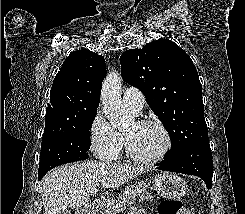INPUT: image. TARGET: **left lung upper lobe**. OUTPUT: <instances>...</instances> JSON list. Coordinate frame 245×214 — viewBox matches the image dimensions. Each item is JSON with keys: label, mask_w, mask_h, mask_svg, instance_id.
I'll return each mask as SVG.
<instances>
[{"label": "left lung upper lobe", "mask_w": 245, "mask_h": 214, "mask_svg": "<svg viewBox=\"0 0 245 214\" xmlns=\"http://www.w3.org/2000/svg\"><path fill=\"white\" fill-rule=\"evenodd\" d=\"M122 76L140 89L171 139L172 156L208 142L202 87L192 59L168 39H158L120 57Z\"/></svg>", "instance_id": "left-lung-upper-lobe-1"}]
</instances>
